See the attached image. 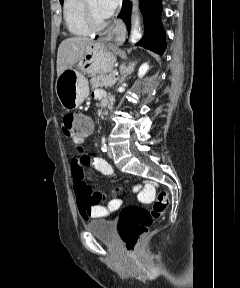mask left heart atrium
<instances>
[{
  "label": "left heart atrium",
  "instance_id": "left-heart-atrium-1",
  "mask_svg": "<svg viewBox=\"0 0 240 288\" xmlns=\"http://www.w3.org/2000/svg\"><path fill=\"white\" fill-rule=\"evenodd\" d=\"M120 0H97L98 9L105 17H110L118 6Z\"/></svg>",
  "mask_w": 240,
  "mask_h": 288
}]
</instances>
